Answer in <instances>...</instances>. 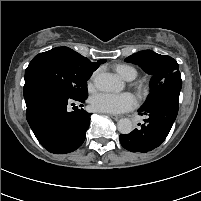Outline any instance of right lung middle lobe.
<instances>
[{"instance_id": "right-lung-middle-lobe-1", "label": "right lung middle lobe", "mask_w": 201, "mask_h": 201, "mask_svg": "<svg viewBox=\"0 0 201 201\" xmlns=\"http://www.w3.org/2000/svg\"><path fill=\"white\" fill-rule=\"evenodd\" d=\"M40 78L60 87L72 99L84 101L88 97L89 74L76 69L59 47L36 55L25 71V81Z\"/></svg>"}]
</instances>
